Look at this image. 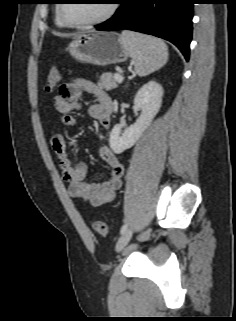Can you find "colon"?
<instances>
[{
    "instance_id": "5ec220e1",
    "label": "colon",
    "mask_w": 236,
    "mask_h": 321,
    "mask_svg": "<svg viewBox=\"0 0 236 321\" xmlns=\"http://www.w3.org/2000/svg\"><path fill=\"white\" fill-rule=\"evenodd\" d=\"M60 79V74L57 68L51 69L49 72L46 83L45 89L46 91H52L58 84ZM93 230L100 236L105 237L108 234V228L105 222L101 220H95L92 222Z\"/></svg>"
}]
</instances>
